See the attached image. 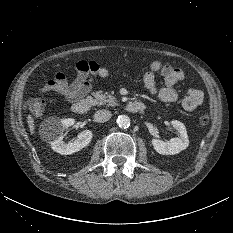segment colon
<instances>
[{
    "instance_id": "obj_1",
    "label": "colon",
    "mask_w": 233,
    "mask_h": 233,
    "mask_svg": "<svg viewBox=\"0 0 233 233\" xmlns=\"http://www.w3.org/2000/svg\"><path fill=\"white\" fill-rule=\"evenodd\" d=\"M25 108L29 113L39 116L45 112L46 101L40 98H33L25 103ZM209 121L210 117L206 114L202 115L199 118V122L201 125H207Z\"/></svg>"
}]
</instances>
